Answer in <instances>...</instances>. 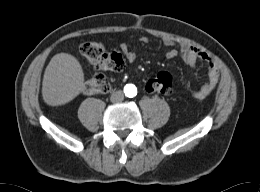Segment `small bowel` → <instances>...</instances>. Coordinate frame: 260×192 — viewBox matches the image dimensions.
Returning a JSON list of instances; mask_svg holds the SVG:
<instances>
[{
  "label": "small bowel",
  "mask_w": 260,
  "mask_h": 192,
  "mask_svg": "<svg viewBox=\"0 0 260 192\" xmlns=\"http://www.w3.org/2000/svg\"><path fill=\"white\" fill-rule=\"evenodd\" d=\"M140 42L148 44L150 41L147 37H141ZM163 44L170 49L166 52L168 59L180 57L187 65L195 69L199 62L206 65L208 74L205 83L196 91L192 92V96L196 99L206 98L216 87L219 81V69L215 61L206 52L199 50L196 47L181 44L176 47L173 40L165 39ZM120 51L126 57L127 61L132 63L137 59V54L134 49L127 43H121Z\"/></svg>",
  "instance_id": "c3829d8e"
}]
</instances>
